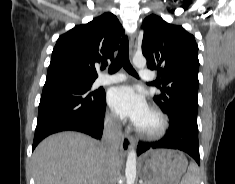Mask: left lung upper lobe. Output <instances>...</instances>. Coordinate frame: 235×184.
I'll list each match as a JSON object with an SVG mask.
<instances>
[{
    "instance_id": "obj_1",
    "label": "left lung upper lobe",
    "mask_w": 235,
    "mask_h": 184,
    "mask_svg": "<svg viewBox=\"0 0 235 184\" xmlns=\"http://www.w3.org/2000/svg\"><path fill=\"white\" fill-rule=\"evenodd\" d=\"M142 28V53L148 68L157 71L161 90L154 101L167 114L185 111L197 117L199 60L194 36L154 14Z\"/></svg>"
}]
</instances>
